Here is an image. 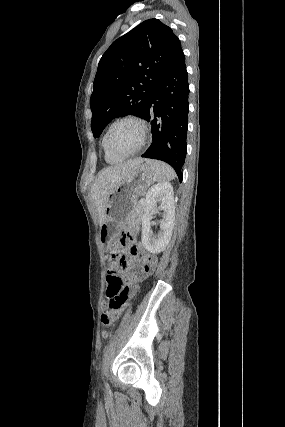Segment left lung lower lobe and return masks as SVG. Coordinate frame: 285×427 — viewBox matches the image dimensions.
Listing matches in <instances>:
<instances>
[{
	"label": "left lung lower lobe",
	"instance_id": "0a47b994",
	"mask_svg": "<svg viewBox=\"0 0 285 427\" xmlns=\"http://www.w3.org/2000/svg\"><path fill=\"white\" fill-rule=\"evenodd\" d=\"M188 73L183 51L155 87L142 118L151 121L152 144L142 155L171 165L182 181L189 111ZM154 114L151 119L150 115Z\"/></svg>",
	"mask_w": 285,
	"mask_h": 427
}]
</instances>
